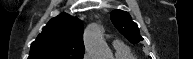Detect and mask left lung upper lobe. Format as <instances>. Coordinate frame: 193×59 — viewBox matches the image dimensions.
I'll return each mask as SVG.
<instances>
[{"label": "left lung upper lobe", "instance_id": "5c2ea615", "mask_svg": "<svg viewBox=\"0 0 193 59\" xmlns=\"http://www.w3.org/2000/svg\"><path fill=\"white\" fill-rule=\"evenodd\" d=\"M110 18L119 32L123 34L131 43H138L143 40L137 24L132 21L128 12L113 10L110 13Z\"/></svg>", "mask_w": 193, "mask_h": 59}]
</instances>
